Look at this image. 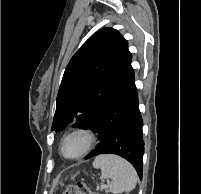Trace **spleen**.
I'll return each mask as SVG.
<instances>
[{
	"label": "spleen",
	"instance_id": "spleen-1",
	"mask_svg": "<svg viewBox=\"0 0 201 194\" xmlns=\"http://www.w3.org/2000/svg\"><path fill=\"white\" fill-rule=\"evenodd\" d=\"M94 168L101 169V179H110V191L113 194L129 192L136 187L137 174L133 166L116 155L103 154L93 161Z\"/></svg>",
	"mask_w": 201,
	"mask_h": 194
}]
</instances>
